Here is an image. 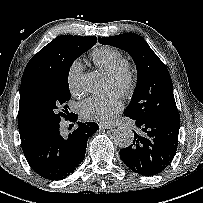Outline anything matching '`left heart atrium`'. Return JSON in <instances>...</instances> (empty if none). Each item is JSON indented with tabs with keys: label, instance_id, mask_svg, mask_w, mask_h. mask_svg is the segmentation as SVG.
Returning a JSON list of instances; mask_svg holds the SVG:
<instances>
[{
	"label": "left heart atrium",
	"instance_id": "39dd6f15",
	"mask_svg": "<svg viewBox=\"0 0 203 203\" xmlns=\"http://www.w3.org/2000/svg\"><path fill=\"white\" fill-rule=\"evenodd\" d=\"M122 108V104L115 98L90 97L81 104V113L85 118L110 121Z\"/></svg>",
	"mask_w": 203,
	"mask_h": 203
}]
</instances>
